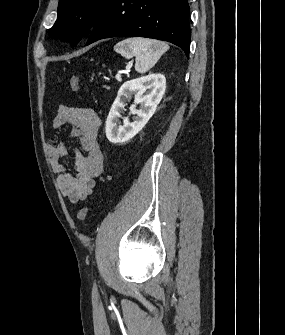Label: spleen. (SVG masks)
I'll list each match as a JSON object with an SVG mask.
<instances>
[{
  "mask_svg": "<svg viewBox=\"0 0 285 335\" xmlns=\"http://www.w3.org/2000/svg\"><path fill=\"white\" fill-rule=\"evenodd\" d=\"M114 50L127 60L136 56L135 70L139 74H145L155 66L162 54L169 50V46L165 42L149 40V38H127V40L116 44Z\"/></svg>",
  "mask_w": 285,
  "mask_h": 335,
  "instance_id": "obj_1",
  "label": "spleen"
}]
</instances>
